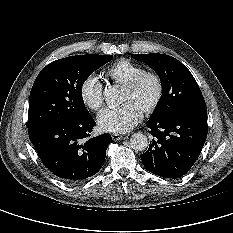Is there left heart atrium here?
<instances>
[{
  "label": "left heart atrium",
  "mask_w": 233,
  "mask_h": 233,
  "mask_svg": "<svg viewBox=\"0 0 233 233\" xmlns=\"http://www.w3.org/2000/svg\"><path fill=\"white\" fill-rule=\"evenodd\" d=\"M143 112L131 103L124 104L117 110L104 112L98 118L101 131L113 133H126L140 123Z\"/></svg>",
  "instance_id": "obj_1"
}]
</instances>
